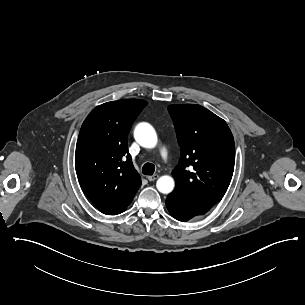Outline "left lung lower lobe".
Segmentation results:
<instances>
[{
    "mask_svg": "<svg viewBox=\"0 0 305 305\" xmlns=\"http://www.w3.org/2000/svg\"><path fill=\"white\" fill-rule=\"evenodd\" d=\"M166 206L170 214L177 220L186 222L196 216L204 215L211 207L188 203L173 193L166 199Z\"/></svg>",
    "mask_w": 305,
    "mask_h": 305,
    "instance_id": "1",
    "label": "left lung lower lobe"
}]
</instances>
